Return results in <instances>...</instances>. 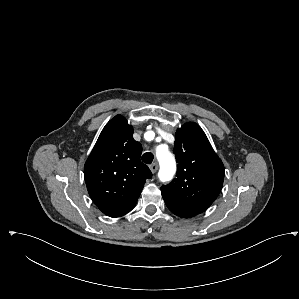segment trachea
Instances as JSON below:
<instances>
[{"instance_id":"trachea-1","label":"trachea","mask_w":299,"mask_h":299,"mask_svg":"<svg viewBox=\"0 0 299 299\" xmlns=\"http://www.w3.org/2000/svg\"><path fill=\"white\" fill-rule=\"evenodd\" d=\"M142 161L146 164H151L153 161V154L151 152H146L142 155Z\"/></svg>"}]
</instances>
